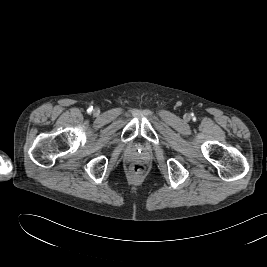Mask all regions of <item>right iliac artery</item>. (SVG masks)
<instances>
[{
    "instance_id": "right-iliac-artery-1",
    "label": "right iliac artery",
    "mask_w": 267,
    "mask_h": 267,
    "mask_svg": "<svg viewBox=\"0 0 267 267\" xmlns=\"http://www.w3.org/2000/svg\"><path fill=\"white\" fill-rule=\"evenodd\" d=\"M92 110H93V107H92V106H90V107L87 109L88 113H91Z\"/></svg>"
}]
</instances>
